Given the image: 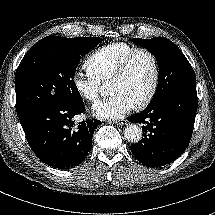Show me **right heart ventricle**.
<instances>
[{
	"label": "right heart ventricle",
	"instance_id": "right-heart-ventricle-1",
	"mask_svg": "<svg viewBox=\"0 0 215 215\" xmlns=\"http://www.w3.org/2000/svg\"><path fill=\"white\" fill-rule=\"evenodd\" d=\"M136 47L128 42L108 43L96 49L85 60L84 66L88 74L99 81L110 78L119 61Z\"/></svg>",
	"mask_w": 215,
	"mask_h": 215
}]
</instances>
